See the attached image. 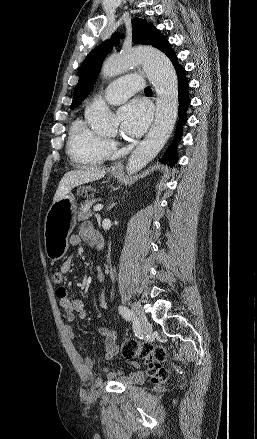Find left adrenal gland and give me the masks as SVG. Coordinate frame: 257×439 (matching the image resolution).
I'll use <instances>...</instances> for the list:
<instances>
[{
  "instance_id": "obj_1",
  "label": "left adrenal gland",
  "mask_w": 257,
  "mask_h": 439,
  "mask_svg": "<svg viewBox=\"0 0 257 439\" xmlns=\"http://www.w3.org/2000/svg\"><path fill=\"white\" fill-rule=\"evenodd\" d=\"M117 203L113 202L109 205L108 211H110Z\"/></svg>"
}]
</instances>
